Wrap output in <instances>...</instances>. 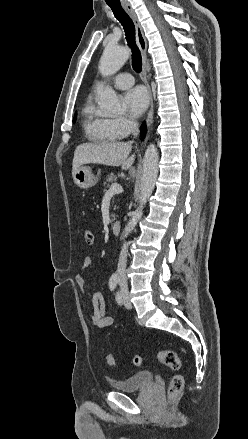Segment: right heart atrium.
Returning a JSON list of instances; mask_svg holds the SVG:
<instances>
[{
  "instance_id": "d8ad5b80",
  "label": "right heart atrium",
  "mask_w": 248,
  "mask_h": 439,
  "mask_svg": "<svg viewBox=\"0 0 248 439\" xmlns=\"http://www.w3.org/2000/svg\"><path fill=\"white\" fill-rule=\"evenodd\" d=\"M113 130L121 137L129 135L137 126V122L130 116L123 115L111 119Z\"/></svg>"
}]
</instances>
